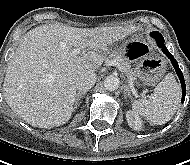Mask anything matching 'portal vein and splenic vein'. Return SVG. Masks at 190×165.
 Wrapping results in <instances>:
<instances>
[{
	"label": "portal vein and splenic vein",
	"mask_w": 190,
	"mask_h": 165,
	"mask_svg": "<svg viewBox=\"0 0 190 165\" xmlns=\"http://www.w3.org/2000/svg\"><path fill=\"white\" fill-rule=\"evenodd\" d=\"M72 54L73 55H76V54H80L81 53V51H80V49H73L72 51ZM109 65H111V66H116L120 71H123V68L120 66V64L118 63V62H115V61H110L109 62ZM124 72V71H123Z\"/></svg>",
	"instance_id": "obj_1"
}]
</instances>
